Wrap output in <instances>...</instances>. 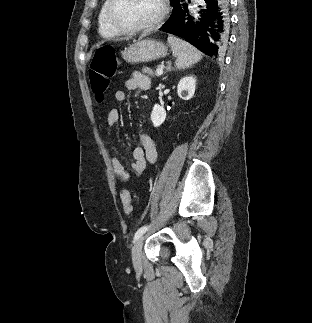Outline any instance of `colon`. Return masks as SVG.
Segmentation results:
<instances>
[{
    "instance_id": "1",
    "label": "colon",
    "mask_w": 312,
    "mask_h": 323,
    "mask_svg": "<svg viewBox=\"0 0 312 323\" xmlns=\"http://www.w3.org/2000/svg\"><path fill=\"white\" fill-rule=\"evenodd\" d=\"M117 73V60L115 49L109 46L100 47L94 54L89 72V78L92 91L97 95H102L108 88L112 78ZM133 195L128 189H125L122 194V202L125 207V215H132Z\"/></svg>"
}]
</instances>
